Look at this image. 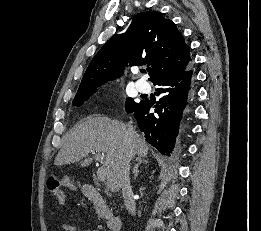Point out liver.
Returning <instances> with one entry per match:
<instances>
[{"label":"liver","instance_id":"liver-1","mask_svg":"<svg viewBox=\"0 0 261 231\" xmlns=\"http://www.w3.org/2000/svg\"><path fill=\"white\" fill-rule=\"evenodd\" d=\"M148 146L140 135L128 136L127 127L123 122L108 117L96 116L81 122L70 132L63 147L58 152L54 164L66 165L81 161L82 166L92 162L86 158L90 153H105L104 170L107 187L118 192L122 187L123 174L127 162L133 156L146 157Z\"/></svg>","mask_w":261,"mask_h":231}]
</instances>
